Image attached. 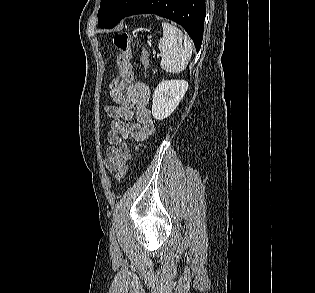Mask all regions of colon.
I'll use <instances>...</instances> for the list:
<instances>
[{
	"mask_svg": "<svg viewBox=\"0 0 315 293\" xmlns=\"http://www.w3.org/2000/svg\"><path fill=\"white\" fill-rule=\"evenodd\" d=\"M130 40L131 36L128 31H123L118 33L114 37V44L119 51L118 55V68L120 78H113L111 80L110 88H107V93L118 92L119 86L122 85L123 79H127L128 83H131V79L133 78V71L131 65V48H130ZM140 61H143L145 65H147V53L144 48V42H141V48L138 53ZM128 165H124L118 171H116L114 175V179L117 182H120L125 176Z\"/></svg>",
	"mask_w": 315,
	"mask_h": 293,
	"instance_id": "1",
	"label": "colon"
}]
</instances>
